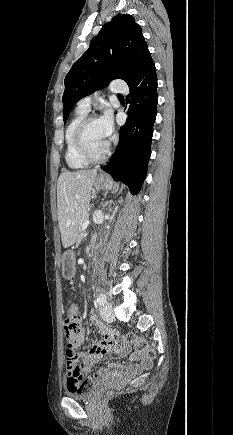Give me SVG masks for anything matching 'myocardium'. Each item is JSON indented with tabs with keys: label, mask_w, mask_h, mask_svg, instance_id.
<instances>
[{
	"label": "myocardium",
	"mask_w": 233,
	"mask_h": 435,
	"mask_svg": "<svg viewBox=\"0 0 233 435\" xmlns=\"http://www.w3.org/2000/svg\"><path fill=\"white\" fill-rule=\"evenodd\" d=\"M99 120L96 116H86L77 126L75 131V145L80 156L88 163H99L104 161L110 154L112 141L110 140L107 144L105 151L100 155H94L89 150L86 143V130L88 126Z\"/></svg>",
	"instance_id": "f54148a6"
}]
</instances>
